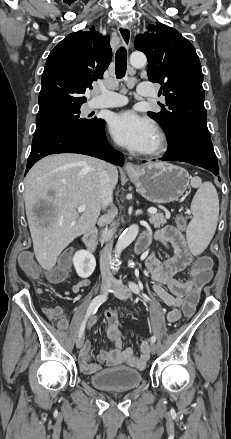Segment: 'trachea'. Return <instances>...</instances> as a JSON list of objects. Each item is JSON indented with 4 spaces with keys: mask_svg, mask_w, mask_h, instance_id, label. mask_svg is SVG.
<instances>
[{
    "mask_svg": "<svg viewBox=\"0 0 231 439\" xmlns=\"http://www.w3.org/2000/svg\"><path fill=\"white\" fill-rule=\"evenodd\" d=\"M127 70V51L124 47H120L115 56V74L117 79L125 76Z\"/></svg>",
    "mask_w": 231,
    "mask_h": 439,
    "instance_id": "3493384b",
    "label": "trachea"
}]
</instances>
